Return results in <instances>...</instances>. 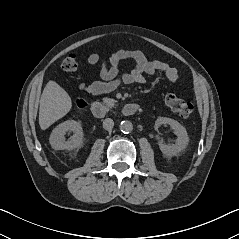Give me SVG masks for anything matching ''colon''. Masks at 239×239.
<instances>
[{
	"mask_svg": "<svg viewBox=\"0 0 239 239\" xmlns=\"http://www.w3.org/2000/svg\"><path fill=\"white\" fill-rule=\"evenodd\" d=\"M78 65L79 60L77 54L71 53L63 60L61 69L65 73H70L74 72L78 68ZM165 101L167 106L182 118L189 117L193 112V104L191 102L179 98L174 94H168ZM77 105L80 109H84L86 102L79 100Z\"/></svg>",
	"mask_w": 239,
	"mask_h": 239,
	"instance_id": "1",
	"label": "colon"
}]
</instances>
